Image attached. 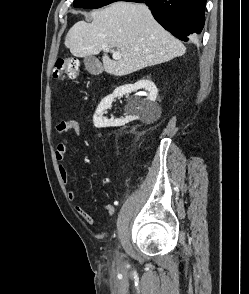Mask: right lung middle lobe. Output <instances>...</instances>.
<instances>
[{"instance_id": "obj_1", "label": "right lung middle lobe", "mask_w": 249, "mask_h": 294, "mask_svg": "<svg viewBox=\"0 0 249 294\" xmlns=\"http://www.w3.org/2000/svg\"><path fill=\"white\" fill-rule=\"evenodd\" d=\"M118 0H74V7L100 8Z\"/></svg>"}]
</instances>
